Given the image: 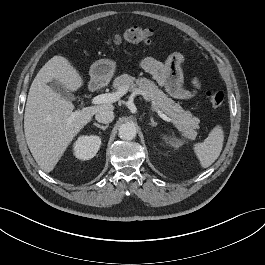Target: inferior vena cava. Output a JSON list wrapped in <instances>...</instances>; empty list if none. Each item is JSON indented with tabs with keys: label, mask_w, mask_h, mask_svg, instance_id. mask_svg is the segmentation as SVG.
Returning a JSON list of instances; mask_svg holds the SVG:
<instances>
[{
	"label": "inferior vena cava",
	"mask_w": 265,
	"mask_h": 265,
	"mask_svg": "<svg viewBox=\"0 0 265 265\" xmlns=\"http://www.w3.org/2000/svg\"><path fill=\"white\" fill-rule=\"evenodd\" d=\"M95 118L100 123L108 124L113 121L114 112L110 108H103L96 113Z\"/></svg>",
	"instance_id": "inferior-vena-cava-1"
}]
</instances>
